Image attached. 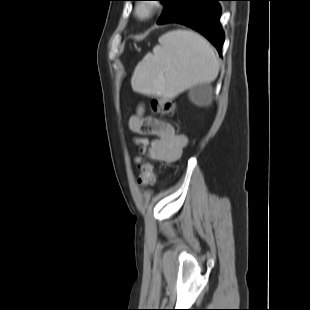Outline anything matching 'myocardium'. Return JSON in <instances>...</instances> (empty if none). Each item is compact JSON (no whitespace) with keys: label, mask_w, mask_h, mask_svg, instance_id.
I'll return each mask as SVG.
<instances>
[{"label":"myocardium","mask_w":310,"mask_h":310,"mask_svg":"<svg viewBox=\"0 0 310 310\" xmlns=\"http://www.w3.org/2000/svg\"><path fill=\"white\" fill-rule=\"evenodd\" d=\"M156 12V6L152 4H139L135 8V14L138 18L149 19Z\"/></svg>","instance_id":"1"}]
</instances>
